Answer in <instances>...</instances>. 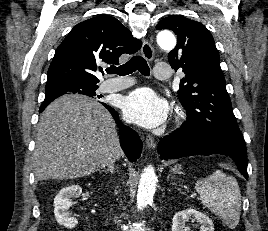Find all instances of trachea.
<instances>
[{
    "mask_svg": "<svg viewBox=\"0 0 268 231\" xmlns=\"http://www.w3.org/2000/svg\"><path fill=\"white\" fill-rule=\"evenodd\" d=\"M136 70H138L144 76H149L150 74V68L146 60L139 55L133 56L128 62L119 67L112 66L110 68H107L106 72L108 74H118L119 76H125L135 72Z\"/></svg>",
    "mask_w": 268,
    "mask_h": 231,
    "instance_id": "1",
    "label": "trachea"
}]
</instances>
